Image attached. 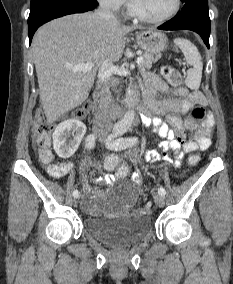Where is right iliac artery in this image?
<instances>
[{
	"instance_id": "right-iliac-artery-1",
	"label": "right iliac artery",
	"mask_w": 233,
	"mask_h": 284,
	"mask_svg": "<svg viewBox=\"0 0 233 284\" xmlns=\"http://www.w3.org/2000/svg\"><path fill=\"white\" fill-rule=\"evenodd\" d=\"M114 131L116 130L115 128L113 129ZM95 142H96V135L95 134H89L87 136V138L85 139V144H86V147L89 148V149H92L94 148L95 146ZM79 191L78 190H74L73 191V196L74 197H78L79 196Z\"/></svg>"
}]
</instances>
